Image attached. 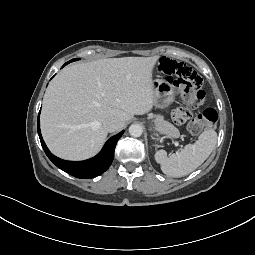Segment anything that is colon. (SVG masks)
Wrapping results in <instances>:
<instances>
[{
    "mask_svg": "<svg viewBox=\"0 0 255 255\" xmlns=\"http://www.w3.org/2000/svg\"><path fill=\"white\" fill-rule=\"evenodd\" d=\"M158 68L183 88V99L190 107H196L203 103L205 98V92L202 89L203 80L188 64L164 57L159 61ZM217 119L216 110L206 108L189 123V131L198 134L204 129L213 127Z\"/></svg>",
    "mask_w": 255,
    "mask_h": 255,
    "instance_id": "1",
    "label": "colon"
}]
</instances>
